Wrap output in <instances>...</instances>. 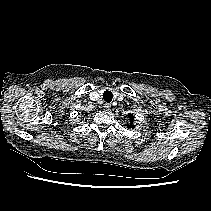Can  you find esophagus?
<instances>
[{"instance_id":"1","label":"esophagus","mask_w":211,"mask_h":211,"mask_svg":"<svg viewBox=\"0 0 211 211\" xmlns=\"http://www.w3.org/2000/svg\"><path fill=\"white\" fill-rule=\"evenodd\" d=\"M104 108H105L106 111L110 110L111 104L106 103V104L104 105Z\"/></svg>"}]
</instances>
